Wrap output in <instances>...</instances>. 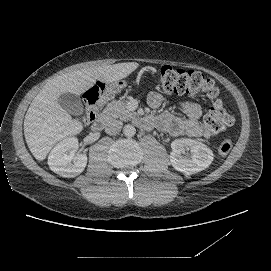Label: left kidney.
Instances as JSON below:
<instances>
[{
  "instance_id": "5707ae66",
  "label": "left kidney",
  "mask_w": 271,
  "mask_h": 271,
  "mask_svg": "<svg viewBox=\"0 0 271 271\" xmlns=\"http://www.w3.org/2000/svg\"><path fill=\"white\" fill-rule=\"evenodd\" d=\"M170 161L178 171L190 175L207 168L213 160V152L194 139L179 138L171 143ZM188 152L191 153L188 156Z\"/></svg>"
}]
</instances>
